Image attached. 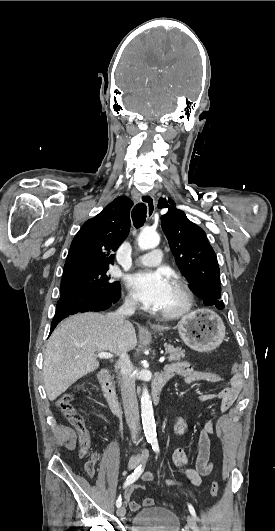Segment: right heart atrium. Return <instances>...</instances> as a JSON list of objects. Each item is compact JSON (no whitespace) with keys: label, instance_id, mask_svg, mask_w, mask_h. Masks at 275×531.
Segmentation results:
<instances>
[{"label":"right heart atrium","instance_id":"right-heart-atrium-1","mask_svg":"<svg viewBox=\"0 0 275 531\" xmlns=\"http://www.w3.org/2000/svg\"><path fill=\"white\" fill-rule=\"evenodd\" d=\"M126 305H127L130 309H135L136 306H137L136 299H135L131 294H129V295L126 297Z\"/></svg>","mask_w":275,"mask_h":531}]
</instances>
